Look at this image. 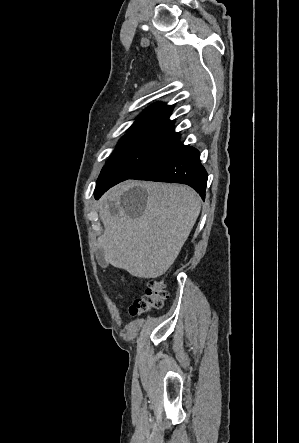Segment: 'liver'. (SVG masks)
Wrapping results in <instances>:
<instances>
[{"mask_svg":"<svg viewBox=\"0 0 299 443\" xmlns=\"http://www.w3.org/2000/svg\"><path fill=\"white\" fill-rule=\"evenodd\" d=\"M131 190V191H130ZM129 192V201L122 200ZM104 233L98 238L104 259L138 278H157L174 263L201 209L190 187L129 182L101 198Z\"/></svg>","mask_w":299,"mask_h":443,"instance_id":"1","label":"liver"}]
</instances>
